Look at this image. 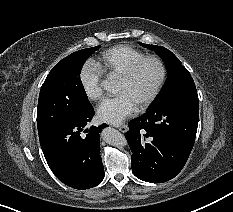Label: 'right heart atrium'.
Returning a JSON list of instances; mask_svg holds the SVG:
<instances>
[{"label":"right heart atrium","mask_w":233,"mask_h":212,"mask_svg":"<svg viewBox=\"0 0 233 212\" xmlns=\"http://www.w3.org/2000/svg\"><path fill=\"white\" fill-rule=\"evenodd\" d=\"M79 81L84 94L89 100L95 101L102 97V71L93 62H86L79 73Z\"/></svg>","instance_id":"1"}]
</instances>
